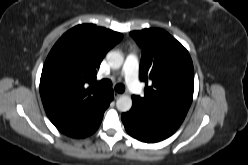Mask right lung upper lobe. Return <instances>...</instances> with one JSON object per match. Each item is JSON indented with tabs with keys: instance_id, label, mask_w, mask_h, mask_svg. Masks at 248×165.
Segmentation results:
<instances>
[{
	"instance_id": "cb5924a9",
	"label": "right lung upper lobe",
	"mask_w": 248,
	"mask_h": 165,
	"mask_svg": "<svg viewBox=\"0 0 248 165\" xmlns=\"http://www.w3.org/2000/svg\"><path fill=\"white\" fill-rule=\"evenodd\" d=\"M123 35L94 24L77 25L51 49L43 66L40 95L44 109L62 131L93 115L109 90L96 85V72L106 53Z\"/></svg>"
}]
</instances>
